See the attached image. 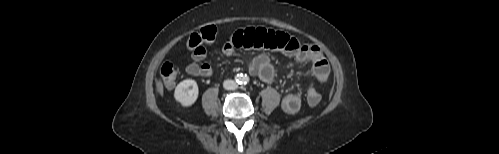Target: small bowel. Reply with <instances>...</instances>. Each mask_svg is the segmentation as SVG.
<instances>
[{
  "mask_svg": "<svg viewBox=\"0 0 499 154\" xmlns=\"http://www.w3.org/2000/svg\"><path fill=\"white\" fill-rule=\"evenodd\" d=\"M239 49L273 50L293 58L298 63L310 62L312 74L319 83H324L330 73L329 63L318 46L304 44L284 32L263 27L240 29L227 39L222 53L232 56ZM206 56L207 50L204 46L195 49L192 53L193 62L186 67V72L191 76L210 77L213 73L212 67L207 63H200ZM246 62L251 74L266 82L273 78L274 71L266 54L246 58ZM281 106L286 113L295 114L301 108V98L297 93H288L282 98Z\"/></svg>",
  "mask_w": 499,
  "mask_h": 154,
  "instance_id": "obj_1",
  "label": "small bowel"
}]
</instances>
